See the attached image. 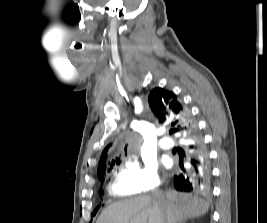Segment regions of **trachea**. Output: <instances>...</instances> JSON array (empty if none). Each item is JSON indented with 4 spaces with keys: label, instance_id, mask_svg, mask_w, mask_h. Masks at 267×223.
Returning <instances> with one entry per match:
<instances>
[{
    "label": "trachea",
    "instance_id": "1",
    "mask_svg": "<svg viewBox=\"0 0 267 223\" xmlns=\"http://www.w3.org/2000/svg\"><path fill=\"white\" fill-rule=\"evenodd\" d=\"M173 132H174L173 130H170V131H169V134H173Z\"/></svg>",
    "mask_w": 267,
    "mask_h": 223
}]
</instances>
